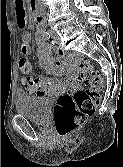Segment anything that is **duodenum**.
<instances>
[{"instance_id": "duodenum-1", "label": "duodenum", "mask_w": 123, "mask_h": 167, "mask_svg": "<svg viewBox=\"0 0 123 167\" xmlns=\"http://www.w3.org/2000/svg\"><path fill=\"white\" fill-rule=\"evenodd\" d=\"M30 7L35 15L36 22L39 24V30L42 31L44 28V14L40 10L38 0H30Z\"/></svg>"}]
</instances>
